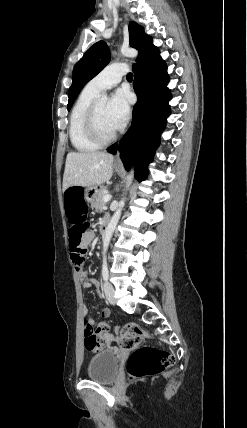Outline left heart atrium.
Listing matches in <instances>:
<instances>
[{
    "mask_svg": "<svg viewBox=\"0 0 247 428\" xmlns=\"http://www.w3.org/2000/svg\"><path fill=\"white\" fill-rule=\"evenodd\" d=\"M130 105L128 94L117 90L107 104V117L115 130L122 128L129 118Z\"/></svg>",
    "mask_w": 247,
    "mask_h": 428,
    "instance_id": "1",
    "label": "left heart atrium"
}]
</instances>
